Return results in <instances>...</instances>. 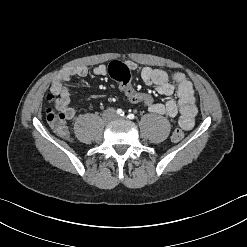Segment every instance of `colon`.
<instances>
[{
    "label": "colon",
    "instance_id": "obj_1",
    "mask_svg": "<svg viewBox=\"0 0 247 247\" xmlns=\"http://www.w3.org/2000/svg\"><path fill=\"white\" fill-rule=\"evenodd\" d=\"M109 75L120 83V88L127 97V99L137 105H145L150 107L154 104L155 98L150 92H141L134 88L131 83L132 76L129 69L121 62L113 61L108 65ZM55 97L51 94L48 96L50 102H54ZM46 119L54 131L62 136L69 135L66 126V117L64 112L59 108L49 107L46 113ZM184 131L176 128L171 136L172 141L179 142L184 138Z\"/></svg>",
    "mask_w": 247,
    "mask_h": 247
}]
</instances>
